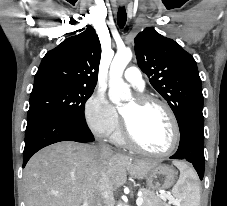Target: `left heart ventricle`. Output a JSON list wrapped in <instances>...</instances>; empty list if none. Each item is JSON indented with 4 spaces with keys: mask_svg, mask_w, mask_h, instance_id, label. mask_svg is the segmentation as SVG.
I'll list each match as a JSON object with an SVG mask.
<instances>
[{
    "mask_svg": "<svg viewBox=\"0 0 227 206\" xmlns=\"http://www.w3.org/2000/svg\"><path fill=\"white\" fill-rule=\"evenodd\" d=\"M136 140L146 149L165 151L173 140V128L167 113L159 106H139L131 100L122 109Z\"/></svg>",
    "mask_w": 227,
    "mask_h": 206,
    "instance_id": "left-heart-ventricle-1",
    "label": "left heart ventricle"
}]
</instances>
